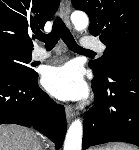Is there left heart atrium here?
Returning <instances> with one entry per match:
<instances>
[{"label":"left heart atrium","instance_id":"39dd6f15","mask_svg":"<svg viewBox=\"0 0 139 150\" xmlns=\"http://www.w3.org/2000/svg\"><path fill=\"white\" fill-rule=\"evenodd\" d=\"M42 83L51 95L61 100H77L87 94L81 70L75 64L47 69Z\"/></svg>","mask_w":139,"mask_h":150}]
</instances>
